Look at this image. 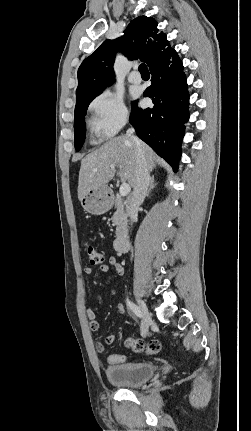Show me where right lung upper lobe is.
Listing matches in <instances>:
<instances>
[{
	"label": "right lung upper lobe",
	"mask_w": 251,
	"mask_h": 431,
	"mask_svg": "<svg viewBox=\"0 0 251 431\" xmlns=\"http://www.w3.org/2000/svg\"><path fill=\"white\" fill-rule=\"evenodd\" d=\"M116 52H122L130 60L140 58L150 69L167 61L174 49L166 35L158 33L155 19L139 16L130 22L123 36L104 41L82 62L77 74L76 98L103 90L112 83Z\"/></svg>",
	"instance_id": "obj_1"
}]
</instances>
